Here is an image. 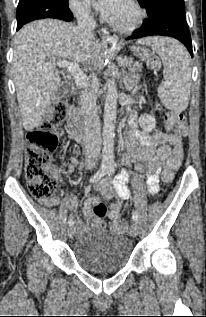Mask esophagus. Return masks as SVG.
<instances>
[{
    "instance_id": "1",
    "label": "esophagus",
    "mask_w": 206,
    "mask_h": 317,
    "mask_svg": "<svg viewBox=\"0 0 206 317\" xmlns=\"http://www.w3.org/2000/svg\"><path fill=\"white\" fill-rule=\"evenodd\" d=\"M100 35H102V39L104 41H107V42H109V41H118V37L116 35H112L106 30H103Z\"/></svg>"
}]
</instances>
